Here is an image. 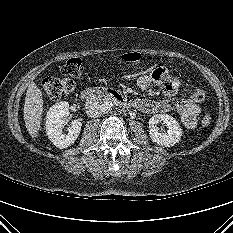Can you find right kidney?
I'll use <instances>...</instances> for the list:
<instances>
[{
    "label": "right kidney",
    "instance_id": "right-kidney-1",
    "mask_svg": "<svg viewBox=\"0 0 233 233\" xmlns=\"http://www.w3.org/2000/svg\"><path fill=\"white\" fill-rule=\"evenodd\" d=\"M69 114V104L67 102H58L53 105L46 115L45 128L50 141L58 148L63 149L72 145L78 138L81 131V122L73 120L68 128V134L61 132L64 124V118Z\"/></svg>",
    "mask_w": 233,
    "mask_h": 233
}]
</instances>
